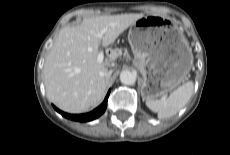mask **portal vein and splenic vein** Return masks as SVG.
Instances as JSON below:
<instances>
[{"label": "portal vein and splenic vein", "mask_w": 230, "mask_h": 155, "mask_svg": "<svg viewBox=\"0 0 230 155\" xmlns=\"http://www.w3.org/2000/svg\"><path fill=\"white\" fill-rule=\"evenodd\" d=\"M103 33H104V31H101L100 33H98V37H99L100 39L103 38ZM103 59H104V53H103V51H100V52L98 53V56H97V62L102 63V62H103Z\"/></svg>", "instance_id": "portal-vein-and-splenic-vein-1"}]
</instances>
